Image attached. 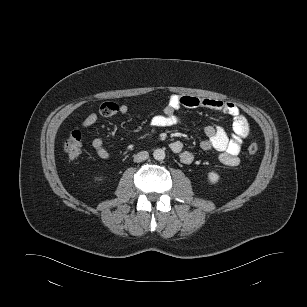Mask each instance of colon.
<instances>
[{
    "label": "colon",
    "instance_id": "obj_1",
    "mask_svg": "<svg viewBox=\"0 0 307 307\" xmlns=\"http://www.w3.org/2000/svg\"><path fill=\"white\" fill-rule=\"evenodd\" d=\"M82 149V138L79 130H74L71 132L69 137L66 139L64 144V150L68 157L72 160L77 159L81 154ZM259 151V145L252 142L247 147V152L250 155H255Z\"/></svg>",
    "mask_w": 307,
    "mask_h": 307
}]
</instances>
